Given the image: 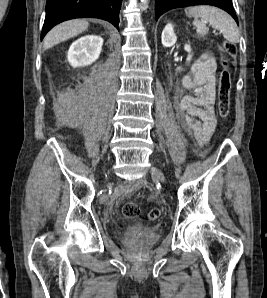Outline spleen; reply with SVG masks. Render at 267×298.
I'll list each match as a JSON object with an SVG mask.
<instances>
[{"label": "spleen", "instance_id": "3e777b00", "mask_svg": "<svg viewBox=\"0 0 267 298\" xmlns=\"http://www.w3.org/2000/svg\"><path fill=\"white\" fill-rule=\"evenodd\" d=\"M188 12L195 17L193 25L199 35L207 34L206 24H209L212 28L219 30L228 42L232 44L239 42L238 27L234 19L225 11L213 6L199 5L190 7ZM199 17L201 20H198Z\"/></svg>", "mask_w": 267, "mask_h": 298}]
</instances>
